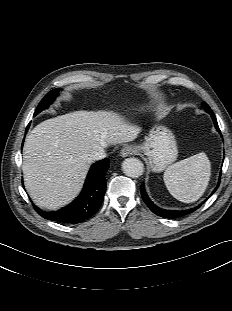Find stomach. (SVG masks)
Masks as SVG:
<instances>
[{
	"label": "stomach",
	"mask_w": 232,
	"mask_h": 311,
	"mask_svg": "<svg viewBox=\"0 0 232 311\" xmlns=\"http://www.w3.org/2000/svg\"><path fill=\"white\" fill-rule=\"evenodd\" d=\"M147 156L149 165L154 172L163 171L178 156L175 136L164 126H155L146 137L145 142L138 146Z\"/></svg>",
	"instance_id": "1"
}]
</instances>
